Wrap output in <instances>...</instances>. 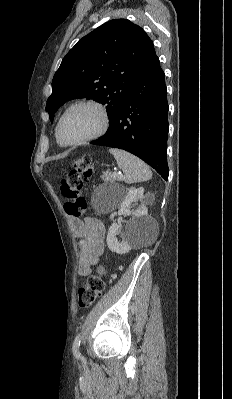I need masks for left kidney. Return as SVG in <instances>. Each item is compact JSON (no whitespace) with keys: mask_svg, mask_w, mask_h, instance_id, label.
I'll list each match as a JSON object with an SVG mask.
<instances>
[{"mask_svg":"<svg viewBox=\"0 0 232 399\" xmlns=\"http://www.w3.org/2000/svg\"><path fill=\"white\" fill-rule=\"evenodd\" d=\"M144 188H129L125 200L122 201L118 215L123 213H131L132 219L126 225L125 233L122 241H118L116 235L120 225L114 221L111 223L107 233V243L111 251L116 253H127L129 249H132L135 243H142L147 233H150L152 229V221L148 217V209L144 201ZM132 201H141L137 209H130Z\"/></svg>","mask_w":232,"mask_h":399,"instance_id":"left-kidney-1","label":"left kidney"}]
</instances>
